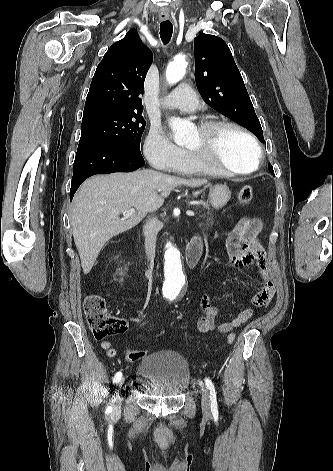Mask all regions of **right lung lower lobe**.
Returning a JSON list of instances; mask_svg holds the SVG:
<instances>
[{"mask_svg": "<svg viewBox=\"0 0 333 471\" xmlns=\"http://www.w3.org/2000/svg\"><path fill=\"white\" fill-rule=\"evenodd\" d=\"M145 164L141 153L107 143L79 145L70 190L72 200L80 184L95 174L131 172Z\"/></svg>", "mask_w": 333, "mask_h": 471, "instance_id": "1", "label": "right lung lower lobe"}]
</instances>
